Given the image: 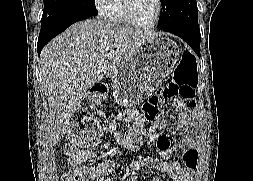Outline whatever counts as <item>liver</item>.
Wrapping results in <instances>:
<instances>
[{"label": "liver", "instance_id": "obj_1", "mask_svg": "<svg viewBox=\"0 0 253 181\" xmlns=\"http://www.w3.org/2000/svg\"><path fill=\"white\" fill-rule=\"evenodd\" d=\"M155 34L96 19L80 21L50 41L40 57L43 90L50 108L52 145L59 143L68 119L104 77L115 75L134 51ZM115 57L108 59L106 54Z\"/></svg>", "mask_w": 253, "mask_h": 181}]
</instances>
